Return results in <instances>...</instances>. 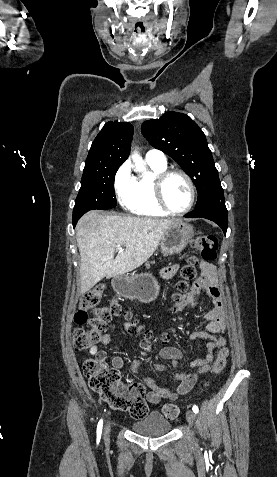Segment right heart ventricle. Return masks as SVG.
<instances>
[{"mask_svg": "<svg viewBox=\"0 0 277 477\" xmlns=\"http://www.w3.org/2000/svg\"><path fill=\"white\" fill-rule=\"evenodd\" d=\"M149 172L134 178L133 190L131 197L126 204L130 212L142 217H165L164 212L155 199L154 195V178L155 176L166 170V165L147 162Z\"/></svg>", "mask_w": 277, "mask_h": 477, "instance_id": "e07e8e85", "label": "right heart ventricle"}]
</instances>
